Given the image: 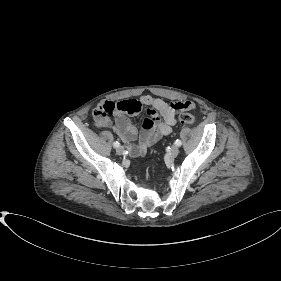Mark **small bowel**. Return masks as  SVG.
Returning a JSON list of instances; mask_svg holds the SVG:
<instances>
[{"instance_id":"small-bowel-1","label":"small bowel","mask_w":281,"mask_h":281,"mask_svg":"<svg viewBox=\"0 0 281 281\" xmlns=\"http://www.w3.org/2000/svg\"><path fill=\"white\" fill-rule=\"evenodd\" d=\"M132 102L139 103L141 107H149L147 110L148 118L143 122V130L138 140L136 141V127L127 115H136L140 111L134 113L122 111L120 114H116L115 130L127 145L128 152L133 157L145 154L147 149L154 146L162 137L172 134L173 127L176 124V112L194 107V104L191 102L178 101L168 103L150 95L142 96L139 101H124L126 105ZM112 103L110 101L101 102L96 106L95 111Z\"/></svg>"}]
</instances>
